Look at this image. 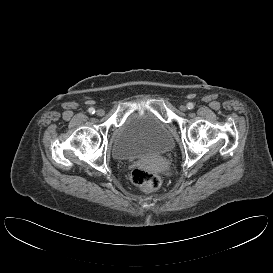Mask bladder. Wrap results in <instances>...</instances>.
<instances>
[{
  "label": "bladder",
  "instance_id": "bladder-1",
  "mask_svg": "<svg viewBox=\"0 0 273 273\" xmlns=\"http://www.w3.org/2000/svg\"><path fill=\"white\" fill-rule=\"evenodd\" d=\"M168 127L155 115L134 112L125 117L112 137L111 152L119 161L162 156L174 148Z\"/></svg>",
  "mask_w": 273,
  "mask_h": 273
}]
</instances>
